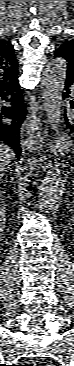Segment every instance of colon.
Segmentation results:
<instances>
[{"mask_svg":"<svg viewBox=\"0 0 74 366\" xmlns=\"http://www.w3.org/2000/svg\"><path fill=\"white\" fill-rule=\"evenodd\" d=\"M27 366H36V365H34V364H30V365H27ZM40 366H45V365H40Z\"/></svg>","mask_w":74,"mask_h":366,"instance_id":"1","label":"colon"}]
</instances>
